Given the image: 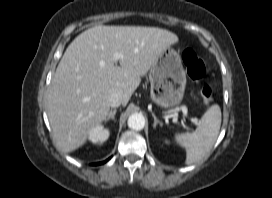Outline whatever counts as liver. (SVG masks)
Segmentation results:
<instances>
[{"mask_svg": "<svg viewBox=\"0 0 272 198\" xmlns=\"http://www.w3.org/2000/svg\"><path fill=\"white\" fill-rule=\"evenodd\" d=\"M177 42L176 34L157 27L97 25L78 35L64 52L47 95L57 145L65 152L82 146L90 131L106 121L109 96L119 93L126 105L156 57Z\"/></svg>", "mask_w": 272, "mask_h": 198, "instance_id": "6515ba94", "label": "liver"}]
</instances>
